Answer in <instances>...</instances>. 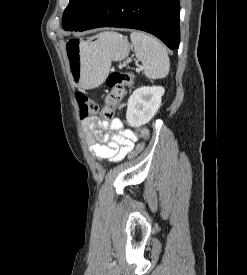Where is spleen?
I'll list each match as a JSON object with an SVG mask.
<instances>
[{"label": "spleen", "instance_id": "obj_1", "mask_svg": "<svg viewBox=\"0 0 247 275\" xmlns=\"http://www.w3.org/2000/svg\"><path fill=\"white\" fill-rule=\"evenodd\" d=\"M102 41L104 33L98 36ZM135 49V55L142 62L144 74L150 79H161L167 76L170 61L165 46L156 38L140 31H133L130 35Z\"/></svg>", "mask_w": 247, "mask_h": 275}]
</instances>
